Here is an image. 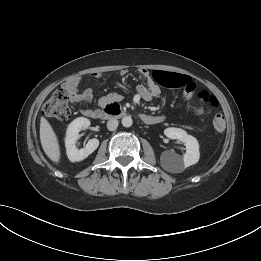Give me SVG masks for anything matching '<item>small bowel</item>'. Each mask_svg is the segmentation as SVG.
Returning a JSON list of instances; mask_svg holds the SVG:
<instances>
[{"label":"small bowel","mask_w":261,"mask_h":261,"mask_svg":"<svg viewBox=\"0 0 261 261\" xmlns=\"http://www.w3.org/2000/svg\"><path fill=\"white\" fill-rule=\"evenodd\" d=\"M126 72L122 71L124 75ZM140 74L143 78L144 83L137 86L136 93L138 97L143 100L149 101L153 97L157 96L160 93V86H165L169 88H182L183 89V97L185 100H190L195 91V84L192 82L189 76L172 73V72H164V71H154L152 74L149 71L143 69L140 71ZM93 77L99 78L101 76L100 73L92 74ZM81 79L79 77H73L66 81L63 85V88L68 92L70 96V100L74 103L80 102H91L93 99V92L91 88H85L82 91L79 89ZM114 95L105 96L101 98V104H105L106 102L115 99ZM94 111L91 109H83L82 112L84 115L88 116V113ZM198 113L201 110H197ZM150 123H156L163 120L162 116H149Z\"/></svg>","instance_id":"c3829d8e"}]
</instances>
